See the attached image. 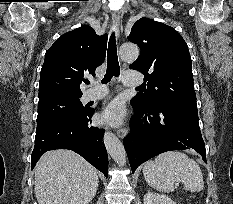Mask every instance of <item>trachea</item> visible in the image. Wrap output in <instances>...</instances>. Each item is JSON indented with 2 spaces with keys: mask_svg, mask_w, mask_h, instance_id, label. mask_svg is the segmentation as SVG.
<instances>
[{
  "mask_svg": "<svg viewBox=\"0 0 233 204\" xmlns=\"http://www.w3.org/2000/svg\"><path fill=\"white\" fill-rule=\"evenodd\" d=\"M120 74L119 62L117 57L115 34L112 33L108 43L107 51V71L102 80L103 84H107L113 76L118 77ZM89 84V81L86 82Z\"/></svg>",
  "mask_w": 233,
  "mask_h": 204,
  "instance_id": "trachea-1",
  "label": "trachea"
}]
</instances>
